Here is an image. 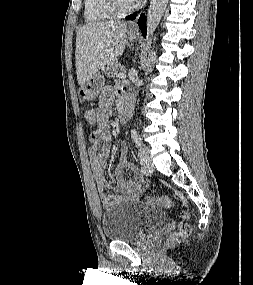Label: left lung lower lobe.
I'll return each instance as SVG.
<instances>
[{
    "label": "left lung lower lobe",
    "instance_id": "obj_1",
    "mask_svg": "<svg viewBox=\"0 0 253 285\" xmlns=\"http://www.w3.org/2000/svg\"><path fill=\"white\" fill-rule=\"evenodd\" d=\"M137 13L131 14L126 17L127 20H134ZM139 27L144 37H146V17L144 14L140 15V20L138 21Z\"/></svg>",
    "mask_w": 253,
    "mask_h": 285
}]
</instances>
